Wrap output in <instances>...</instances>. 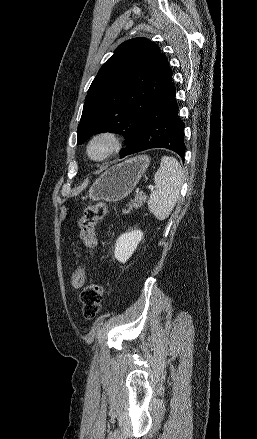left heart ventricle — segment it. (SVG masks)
<instances>
[{
  "mask_svg": "<svg viewBox=\"0 0 257 439\" xmlns=\"http://www.w3.org/2000/svg\"><path fill=\"white\" fill-rule=\"evenodd\" d=\"M108 143L106 141H101L96 143L92 148V154L94 156H100L108 149Z\"/></svg>",
  "mask_w": 257,
  "mask_h": 439,
  "instance_id": "b2bd125f",
  "label": "left heart ventricle"
}]
</instances>
